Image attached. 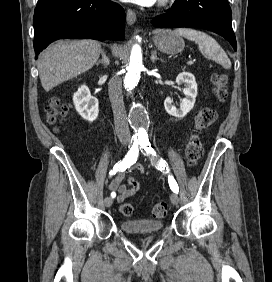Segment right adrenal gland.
Wrapping results in <instances>:
<instances>
[{
  "label": "right adrenal gland",
  "instance_id": "1",
  "mask_svg": "<svg viewBox=\"0 0 272 282\" xmlns=\"http://www.w3.org/2000/svg\"><path fill=\"white\" fill-rule=\"evenodd\" d=\"M101 54H102V58L98 61V64H103L105 67H107L110 63L109 58L107 57L104 49H101Z\"/></svg>",
  "mask_w": 272,
  "mask_h": 282
}]
</instances>
